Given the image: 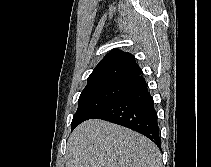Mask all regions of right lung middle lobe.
<instances>
[{
	"mask_svg": "<svg viewBox=\"0 0 211 167\" xmlns=\"http://www.w3.org/2000/svg\"><path fill=\"white\" fill-rule=\"evenodd\" d=\"M131 85L132 80L123 79H105L88 83L80 94L78 109L72 120V130L116 100Z\"/></svg>",
	"mask_w": 211,
	"mask_h": 167,
	"instance_id": "1",
	"label": "right lung middle lobe"
}]
</instances>
